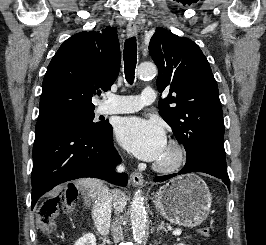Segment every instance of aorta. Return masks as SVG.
<instances>
[{
	"mask_svg": "<svg viewBox=\"0 0 266 245\" xmlns=\"http://www.w3.org/2000/svg\"><path fill=\"white\" fill-rule=\"evenodd\" d=\"M157 68L155 64H139L138 74L139 76H154L156 74ZM147 213L144 207V197L142 191H136L134 193L131 209H130V219H131V229L133 233V239L138 245H142L143 239L146 233V217Z\"/></svg>",
	"mask_w": 266,
	"mask_h": 245,
	"instance_id": "762f6f07",
	"label": "aorta"
}]
</instances>
